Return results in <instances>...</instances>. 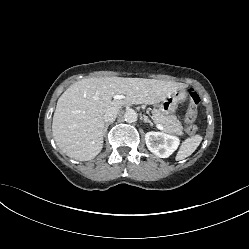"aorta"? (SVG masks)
I'll return each instance as SVG.
<instances>
[{"mask_svg": "<svg viewBox=\"0 0 249 249\" xmlns=\"http://www.w3.org/2000/svg\"><path fill=\"white\" fill-rule=\"evenodd\" d=\"M124 119L128 123L135 122L137 120V113H136V111L133 110V109L126 110V112L124 114Z\"/></svg>", "mask_w": 249, "mask_h": 249, "instance_id": "1", "label": "aorta"}]
</instances>
